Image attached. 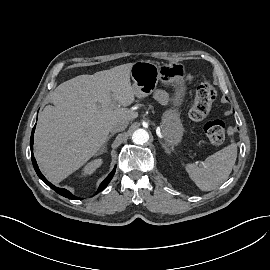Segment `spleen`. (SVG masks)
<instances>
[{
    "mask_svg": "<svg viewBox=\"0 0 270 270\" xmlns=\"http://www.w3.org/2000/svg\"><path fill=\"white\" fill-rule=\"evenodd\" d=\"M229 134H233L229 129ZM237 158V145L232 142L213 155L208 156L202 166L187 164L185 169L190 178L202 191L219 187L230 175Z\"/></svg>",
    "mask_w": 270,
    "mask_h": 270,
    "instance_id": "obj_1",
    "label": "spleen"
}]
</instances>
